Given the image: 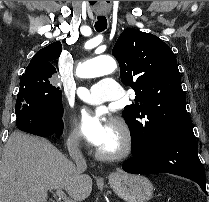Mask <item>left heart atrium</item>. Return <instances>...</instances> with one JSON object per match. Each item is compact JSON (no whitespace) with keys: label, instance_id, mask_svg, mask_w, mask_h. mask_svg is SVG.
<instances>
[{"label":"left heart atrium","instance_id":"left-heart-atrium-1","mask_svg":"<svg viewBox=\"0 0 209 202\" xmlns=\"http://www.w3.org/2000/svg\"><path fill=\"white\" fill-rule=\"evenodd\" d=\"M79 129L84 140L95 148L105 141L111 123L98 110L84 109L79 115Z\"/></svg>","mask_w":209,"mask_h":202}]
</instances>
